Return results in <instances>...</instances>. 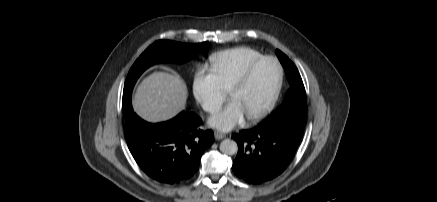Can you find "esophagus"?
<instances>
[{
	"instance_id": "1",
	"label": "esophagus",
	"mask_w": 437,
	"mask_h": 202,
	"mask_svg": "<svg viewBox=\"0 0 437 202\" xmlns=\"http://www.w3.org/2000/svg\"><path fill=\"white\" fill-rule=\"evenodd\" d=\"M214 136H215V139H216V140H221V139H223V138L226 137L225 134L220 133V132H218V131L214 133Z\"/></svg>"
}]
</instances>
